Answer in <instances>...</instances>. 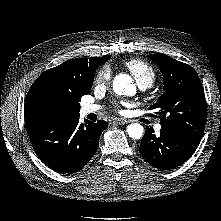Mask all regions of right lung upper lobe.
<instances>
[{
  "mask_svg": "<svg viewBox=\"0 0 221 221\" xmlns=\"http://www.w3.org/2000/svg\"><path fill=\"white\" fill-rule=\"evenodd\" d=\"M110 57H111L110 55H107L103 57L89 58V59L88 58L71 59L54 68L45 71L39 76V78L49 77L70 87L87 88L93 83L94 72L96 71V69L100 65L107 62ZM76 114L67 113L56 117L46 118L45 120H54ZM24 118L29 119L31 117L24 116Z\"/></svg>",
  "mask_w": 221,
  "mask_h": 221,
  "instance_id": "obj_1",
  "label": "right lung upper lobe"
}]
</instances>
